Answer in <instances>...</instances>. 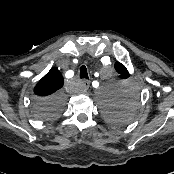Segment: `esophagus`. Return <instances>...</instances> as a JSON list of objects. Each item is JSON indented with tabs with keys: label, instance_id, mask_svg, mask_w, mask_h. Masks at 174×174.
Segmentation results:
<instances>
[{
	"label": "esophagus",
	"instance_id": "esophagus-1",
	"mask_svg": "<svg viewBox=\"0 0 174 174\" xmlns=\"http://www.w3.org/2000/svg\"><path fill=\"white\" fill-rule=\"evenodd\" d=\"M81 86H82V89L86 91L90 86V81L89 80H83Z\"/></svg>",
	"mask_w": 174,
	"mask_h": 174
}]
</instances>
